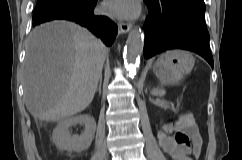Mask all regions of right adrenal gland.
<instances>
[{
	"mask_svg": "<svg viewBox=\"0 0 242 160\" xmlns=\"http://www.w3.org/2000/svg\"><path fill=\"white\" fill-rule=\"evenodd\" d=\"M101 86H102V77L99 80V86H98V89H97L99 91V94H101Z\"/></svg>",
	"mask_w": 242,
	"mask_h": 160,
	"instance_id": "1",
	"label": "right adrenal gland"
}]
</instances>
